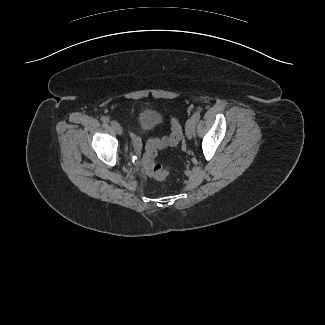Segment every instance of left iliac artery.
<instances>
[{"label":"left iliac artery","instance_id":"44dca946","mask_svg":"<svg viewBox=\"0 0 325 325\" xmlns=\"http://www.w3.org/2000/svg\"><path fill=\"white\" fill-rule=\"evenodd\" d=\"M199 119H200V112L196 111L192 116V120L194 122V129H195V125Z\"/></svg>","mask_w":325,"mask_h":325}]
</instances>
